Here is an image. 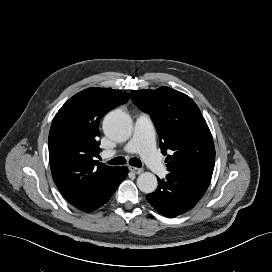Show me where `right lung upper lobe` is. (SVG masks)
I'll use <instances>...</instances> for the list:
<instances>
[{
	"label": "right lung upper lobe",
	"mask_w": 272,
	"mask_h": 272,
	"mask_svg": "<svg viewBox=\"0 0 272 272\" xmlns=\"http://www.w3.org/2000/svg\"><path fill=\"white\" fill-rule=\"evenodd\" d=\"M129 100L119 90L88 88L71 97L55 115L49 132V159L53 180L71 203L85 201L119 172L96 161L101 149L99 122L110 110Z\"/></svg>",
	"instance_id": "cb5924a9"
}]
</instances>
